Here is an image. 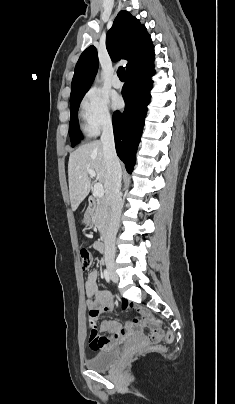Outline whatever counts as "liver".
<instances>
[{"label":"liver","mask_w":235,"mask_h":404,"mask_svg":"<svg viewBox=\"0 0 235 404\" xmlns=\"http://www.w3.org/2000/svg\"><path fill=\"white\" fill-rule=\"evenodd\" d=\"M92 169L99 183L104 185L106 193L107 167L103 153V144L93 141L79 146L70 153L68 162V181L71 208L76 211L91 189V178L87 172Z\"/></svg>","instance_id":"liver-1"}]
</instances>
